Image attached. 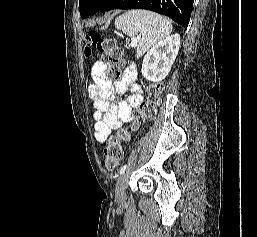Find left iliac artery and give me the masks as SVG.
Instances as JSON below:
<instances>
[{"label": "left iliac artery", "mask_w": 257, "mask_h": 237, "mask_svg": "<svg viewBox=\"0 0 257 237\" xmlns=\"http://www.w3.org/2000/svg\"><path fill=\"white\" fill-rule=\"evenodd\" d=\"M126 168H127V164L123 165V166L120 168L119 174L122 175V174L125 172Z\"/></svg>", "instance_id": "44dca946"}]
</instances>
